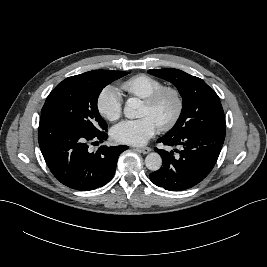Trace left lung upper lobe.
I'll return each instance as SVG.
<instances>
[{
    "instance_id": "left-lung-upper-lobe-1",
    "label": "left lung upper lobe",
    "mask_w": 267,
    "mask_h": 267,
    "mask_svg": "<svg viewBox=\"0 0 267 267\" xmlns=\"http://www.w3.org/2000/svg\"><path fill=\"white\" fill-rule=\"evenodd\" d=\"M148 73L174 84L183 98L181 115L165 136L174 138L196 131L226 129L220 99L202 79L178 69L149 70Z\"/></svg>"
}]
</instances>
